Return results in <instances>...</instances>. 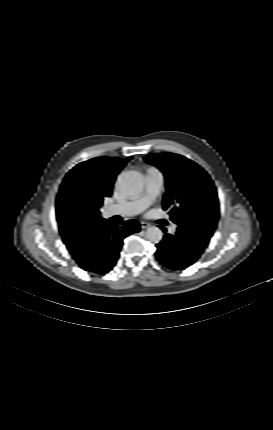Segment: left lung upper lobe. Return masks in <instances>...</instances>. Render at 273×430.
Returning <instances> with one entry per match:
<instances>
[{
  "mask_svg": "<svg viewBox=\"0 0 273 430\" xmlns=\"http://www.w3.org/2000/svg\"><path fill=\"white\" fill-rule=\"evenodd\" d=\"M144 160L157 166L165 175L167 192L163 209L171 220L205 248L219 218V203L213 181L195 162L174 153L151 154Z\"/></svg>",
  "mask_w": 273,
  "mask_h": 430,
  "instance_id": "1",
  "label": "left lung upper lobe"
}]
</instances>
